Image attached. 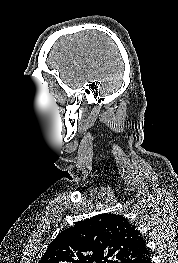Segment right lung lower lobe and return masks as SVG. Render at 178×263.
Wrapping results in <instances>:
<instances>
[{"mask_svg":"<svg viewBox=\"0 0 178 263\" xmlns=\"http://www.w3.org/2000/svg\"><path fill=\"white\" fill-rule=\"evenodd\" d=\"M142 263H151V256L149 255Z\"/></svg>","mask_w":178,"mask_h":263,"instance_id":"98d812e1","label":"right lung lower lobe"}]
</instances>
